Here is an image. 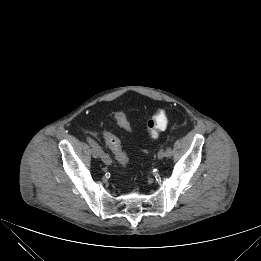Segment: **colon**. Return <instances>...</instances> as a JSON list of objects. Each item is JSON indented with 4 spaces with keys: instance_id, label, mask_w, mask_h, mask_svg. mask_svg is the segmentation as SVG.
<instances>
[{
    "instance_id": "obj_1",
    "label": "colon",
    "mask_w": 261,
    "mask_h": 261,
    "mask_svg": "<svg viewBox=\"0 0 261 261\" xmlns=\"http://www.w3.org/2000/svg\"><path fill=\"white\" fill-rule=\"evenodd\" d=\"M116 123L126 131H131V125L126 115L121 112H115L113 115ZM169 119L166 111L164 109H159L155 112L152 118L148 121L146 125V131L148 135L155 138L160 132L166 129L168 126ZM104 138L107 146L112 151L116 161L125 166L127 164L128 158L126 153L122 149L121 142L119 138L112 131H105Z\"/></svg>"
}]
</instances>
